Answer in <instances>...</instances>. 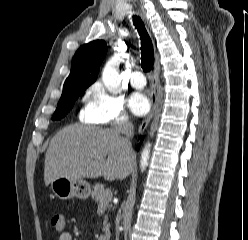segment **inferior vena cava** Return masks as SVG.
Segmentation results:
<instances>
[{"label":"inferior vena cava","mask_w":248,"mask_h":240,"mask_svg":"<svg viewBox=\"0 0 248 240\" xmlns=\"http://www.w3.org/2000/svg\"><path fill=\"white\" fill-rule=\"evenodd\" d=\"M115 131L118 133H122L124 134V139L126 141V144L131 147V142L130 139L132 138L133 134H134V127L132 125L131 122H129L128 120H120L117 122L116 126H115ZM116 240H119V233L117 232L116 234Z\"/></svg>","instance_id":"obj_1"}]
</instances>
